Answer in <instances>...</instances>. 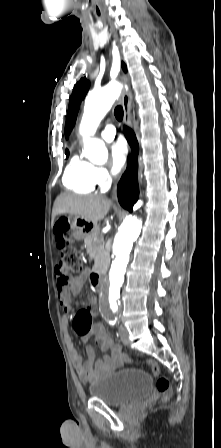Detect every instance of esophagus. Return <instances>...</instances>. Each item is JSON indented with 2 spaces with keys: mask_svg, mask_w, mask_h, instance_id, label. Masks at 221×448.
Returning a JSON list of instances; mask_svg holds the SVG:
<instances>
[{
  "mask_svg": "<svg viewBox=\"0 0 221 448\" xmlns=\"http://www.w3.org/2000/svg\"><path fill=\"white\" fill-rule=\"evenodd\" d=\"M119 80L121 82H123L124 84V89L121 93V102H122V106H123V111H124V122L127 126H131V119H130V105H131V97H130V92L127 88V77L122 74L119 77Z\"/></svg>",
  "mask_w": 221,
  "mask_h": 448,
  "instance_id": "1",
  "label": "esophagus"
}]
</instances>
